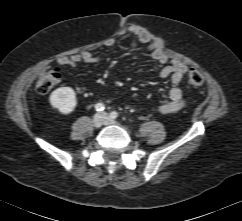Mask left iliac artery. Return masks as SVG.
I'll return each mask as SVG.
<instances>
[{
  "instance_id": "obj_1",
  "label": "left iliac artery",
  "mask_w": 242,
  "mask_h": 221,
  "mask_svg": "<svg viewBox=\"0 0 242 221\" xmlns=\"http://www.w3.org/2000/svg\"><path fill=\"white\" fill-rule=\"evenodd\" d=\"M110 117H111L112 119H116V118L118 117V113H117L116 111H112V112L110 113Z\"/></svg>"
}]
</instances>
